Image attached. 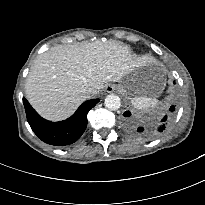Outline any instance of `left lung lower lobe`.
I'll return each mask as SVG.
<instances>
[{
    "label": "left lung lower lobe",
    "instance_id": "left-lung-lower-lobe-1",
    "mask_svg": "<svg viewBox=\"0 0 205 205\" xmlns=\"http://www.w3.org/2000/svg\"><path fill=\"white\" fill-rule=\"evenodd\" d=\"M174 110L175 107L171 106L167 113L162 115L159 119H156L149 127H138L128 118L131 115L129 111H126L123 115L127 117L125 119V125L132 133L144 139H152L160 136L167 130L172 119L171 112Z\"/></svg>",
    "mask_w": 205,
    "mask_h": 205
}]
</instances>
